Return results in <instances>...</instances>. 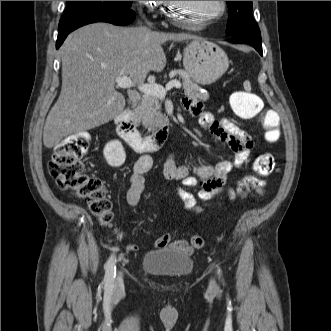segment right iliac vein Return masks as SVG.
<instances>
[{
  "label": "right iliac vein",
  "instance_id": "1",
  "mask_svg": "<svg viewBox=\"0 0 331 331\" xmlns=\"http://www.w3.org/2000/svg\"><path fill=\"white\" fill-rule=\"evenodd\" d=\"M124 290L122 274L119 272L115 281L114 291L116 294L120 295Z\"/></svg>",
  "mask_w": 331,
  "mask_h": 331
}]
</instances>
